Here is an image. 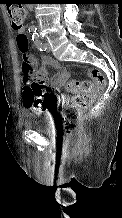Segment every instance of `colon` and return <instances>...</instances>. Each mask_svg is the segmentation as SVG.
<instances>
[{"label": "colon", "instance_id": "colon-1", "mask_svg": "<svg viewBox=\"0 0 122 218\" xmlns=\"http://www.w3.org/2000/svg\"><path fill=\"white\" fill-rule=\"evenodd\" d=\"M12 27L18 32L16 44L21 56L22 81L25 84L23 92V104L31 112H41V106L36 101L39 92H45V87L38 85L31 78V65L29 57V39L25 33L19 32L24 23L25 10L19 3L11 1L8 4ZM91 82L82 80H70L66 83V90L73 95L72 100L63 109L64 128L67 133L75 130L79 119L84 111L90 108L93 97L101 93L107 84L105 75L97 68L86 70Z\"/></svg>", "mask_w": 122, "mask_h": 218}]
</instances>
